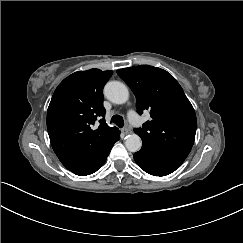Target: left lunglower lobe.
<instances>
[{"instance_id": "1", "label": "left lung lower lobe", "mask_w": 243, "mask_h": 243, "mask_svg": "<svg viewBox=\"0 0 243 243\" xmlns=\"http://www.w3.org/2000/svg\"><path fill=\"white\" fill-rule=\"evenodd\" d=\"M134 160L145 172L154 176H165L179 168L185 158L142 145L141 150L134 154Z\"/></svg>"}]
</instances>
